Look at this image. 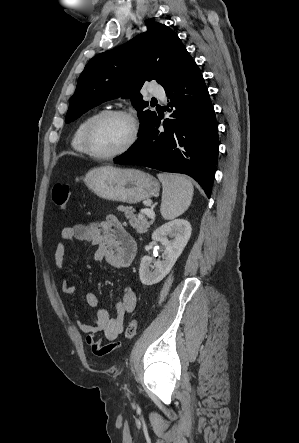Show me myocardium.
<instances>
[{
    "label": "myocardium",
    "mask_w": 299,
    "mask_h": 443,
    "mask_svg": "<svg viewBox=\"0 0 299 443\" xmlns=\"http://www.w3.org/2000/svg\"><path fill=\"white\" fill-rule=\"evenodd\" d=\"M107 116H119L127 119L131 124V134L126 144L119 150L108 153L99 154L95 152L91 145V133L96 123ZM139 134V125L136 118L128 111L122 109H105L94 114L87 122L83 132V145L88 155L98 160H110L117 158L128 152L136 143Z\"/></svg>",
    "instance_id": "obj_1"
}]
</instances>
